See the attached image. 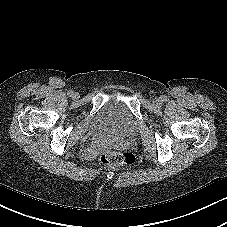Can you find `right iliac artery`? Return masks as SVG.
<instances>
[{"mask_svg":"<svg viewBox=\"0 0 227 227\" xmlns=\"http://www.w3.org/2000/svg\"><path fill=\"white\" fill-rule=\"evenodd\" d=\"M74 93H73V91L72 90H69L68 92H67V95L68 96H72Z\"/></svg>","mask_w":227,"mask_h":227,"instance_id":"1","label":"right iliac artery"}]
</instances>
